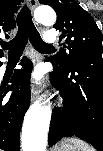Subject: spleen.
<instances>
[{"mask_svg":"<svg viewBox=\"0 0 103 151\" xmlns=\"http://www.w3.org/2000/svg\"><path fill=\"white\" fill-rule=\"evenodd\" d=\"M68 140L72 142L76 147H78L81 151H94L92 147L78 138H69Z\"/></svg>","mask_w":103,"mask_h":151,"instance_id":"obj_1","label":"spleen"}]
</instances>
